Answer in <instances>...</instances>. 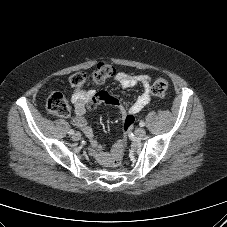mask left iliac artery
<instances>
[{
    "label": "left iliac artery",
    "mask_w": 227,
    "mask_h": 227,
    "mask_svg": "<svg viewBox=\"0 0 227 227\" xmlns=\"http://www.w3.org/2000/svg\"><path fill=\"white\" fill-rule=\"evenodd\" d=\"M139 125H140L141 127H144V126H145V123H144L143 121H141V122L139 123Z\"/></svg>",
    "instance_id": "obj_1"
}]
</instances>
